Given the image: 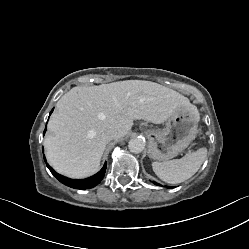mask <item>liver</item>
<instances>
[{
  "label": "liver",
  "instance_id": "obj_1",
  "mask_svg": "<svg viewBox=\"0 0 249 249\" xmlns=\"http://www.w3.org/2000/svg\"><path fill=\"white\" fill-rule=\"evenodd\" d=\"M189 99L163 85L126 80L90 87H74L57 102L44 139L48 163L60 174L85 178L97 172L109 140L107 129L126 136L134 120L164 123Z\"/></svg>",
  "mask_w": 249,
  "mask_h": 249
}]
</instances>
